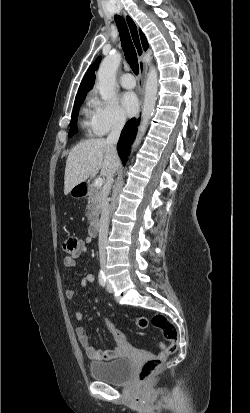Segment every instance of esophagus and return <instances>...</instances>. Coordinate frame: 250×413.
Here are the masks:
<instances>
[{"instance_id":"1","label":"esophagus","mask_w":250,"mask_h":413,"mask_svg":"<svg viewBox=\"0 0 250 413\" xmlns=\"http://www.w3.org/2000/svg\"><path fill=\"white\" fill-rule=\"evenodd\" d=\"M123 14H124V18H125L133 45L135 47L137 57H138L139 72H140L139 85L141 88H143L145 79H146L147 66L145 62L143 61L144 49H143L141 39L139 36L138 26L136 22L134 21V19L128 13L124 11ZM137 117H139V115Z\"/></svg>"}]
</instances>
